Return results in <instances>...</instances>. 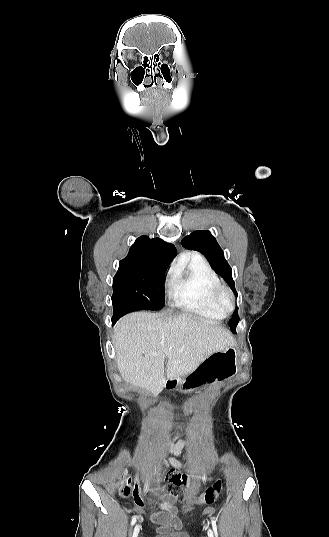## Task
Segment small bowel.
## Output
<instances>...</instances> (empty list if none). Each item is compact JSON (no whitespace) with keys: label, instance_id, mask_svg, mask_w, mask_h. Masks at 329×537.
<instances>
[{"label":"small bowel","instance_id":"1","mask_svg":"<svg viewBox=\"0 0 329 537\" xmlns=\"http://www.w3.org/2000/svg\"><path fill=\"white\" fill-rule=\"evenodd\" d=\"M185 447V443L180 442L168 445L167 450L172 455H184ZM183 470L184 467L178 460L174 458L165 459L162 463V472L165 480L171 484L169 493L162 494L160 501H156L150 496L144 497L142 494L135 495L137 510L144 512L147 504H156L161 511L152 513L150 519L163 527L180 528L181 521L178 518L179 509L175 503L177 502L179 505L184 503L186 496L184 494L180 495L179 487L189 482V477Z\"/></svg>","mask_w":329,"mask_h":537}]
</instances>
